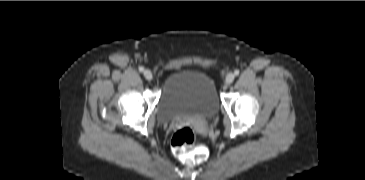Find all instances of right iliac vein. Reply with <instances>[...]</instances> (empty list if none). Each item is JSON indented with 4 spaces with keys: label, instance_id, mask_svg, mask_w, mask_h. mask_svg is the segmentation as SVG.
<instances>
[{
    "label": "right iliac vein",
    "instance_id": "63e3f726",
    "mask_svg": "<svg viewBox=\"0 0 365 180\" xmlns=\"http://www.w3.org/2000/svg\"><path fill=\"white\" fill-rule=\"evenodd\" d=\"M144 77L147 79V80H152V78H153V74H152V72L150 71V70H145L144 71Z\"/></svg>",
    "mask_w": 365,
    "mask_h": 180
}]
</instances>
